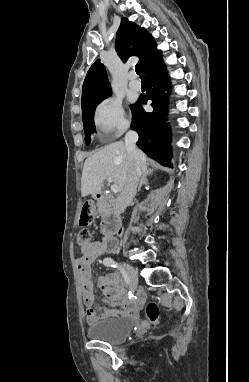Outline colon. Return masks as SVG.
I'll return each mask as SVG.
<instances>
[{
  "label": "colon",
  "instance_id": "1",
  "mask_svg": "<svg viewBox=\"0 0 249 382\" xmlns=\"http://www.w3.org/2000/svg\"><path fill=\"white\" fill-rule=\"evenodd\" d=\"M94 220V207L92 203L87 202L82 206L81 214L79 218V224L83 229L77 236V242L80 246H85L90 242V233L86 229ZM146 321L142 323L143 329H148L149 326L156 325L159 321V308L153 301L147 303L145 308Z\"/></svg>",
  "mask_w": 249,
  "mask_h": 382
}]
</instances>
